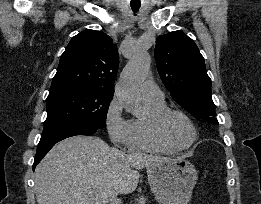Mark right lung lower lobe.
<instances>
[{
  "label": "right lung lower lobe",
  "instance_id": "98d812e1",
  "mask_svg": "<svg viewBox=\"0 0 261 204\" xmlns=\"http://www.w3.org/2000/svg\"><path fill=\"white\" fill-rule=\"evenodd\" d=\"M98 127L94 126H71L59 129H54L42 133L40 142L37 146V153L35 156L33 170L36 165L41 161L45 154L59 141L75 136V135H92L96 133Z\"/></svg>",
  "mask_w": 261,
  "mask_h": 204
}]
</instances>
